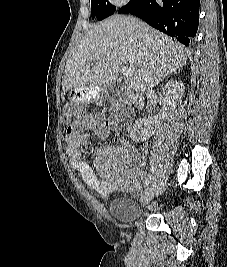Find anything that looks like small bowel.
I'll use <instances>...</instances> for the list:
<instances>
[{"mask_svg":"<svg viewBox=\"0 0 227 267\" xmlns=\"http://www.w3.org/2000/svg\"><path fill=\"white\" fill-rule=\"evenodd\" d=\"M111 124L112 123L108 121H103L101 117L96 114L91 116L83 127H79L77 124L70 125L67 128L65 136L66 153L71 166L78 172L82 181L90 189L102 195L110 192V186L114 180L119 183H130L134 181L139 184L143 178V171L137 166L133 168L124 166L115 176L107 175L103 166H100L104 178L103 180L99 179L87 160L82 156L79 148L90 141L91 135L89 130H93L98 139L105 140L110 134ZM117 143L122 144L123 141L118 139Z\"/></svg>","mask_w":227,"mask_h":267,"instance_id":"c3829d8e","label":"small bowel"}]
</instances>
